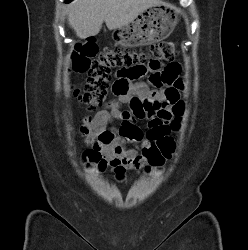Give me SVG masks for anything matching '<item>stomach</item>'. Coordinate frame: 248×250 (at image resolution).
Returning a JSON list of instances; mask_svg holds the SVG:
<instances>
[{"instance_id":"stomach-1","label":"stomach","mask_w":248,"mask_h":250,"mask_svg":"<svg viewBox=\"0 0 248 250\" xmlns=\"http://www.w3.org/2000/svg\"><path fill=\"white\" fill-rule=\"evenodd\" d=\"M177 22L174 6L165 3L154 5L141 12L128 25L116 29L112 38L123 47L149 45L168 37Z\"/></svg>"}]
</instances>
